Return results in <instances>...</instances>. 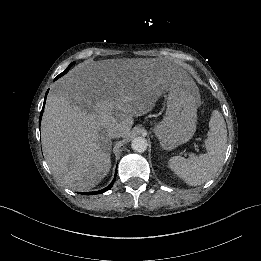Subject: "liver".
<instances>
[{
  "mask_svg": "<svg viewBox=\"0 0 261 261\" xmlns=\"http://www.w3.org/2000/svg\"><path fill=\"white\" fill-rule=\"evenodd\" d=\"M195 86L185 71L168 75L157 65H102L71 69L47 97L41 142L54 177L75 191L98 185L111 168V138L128 137L133 117L147 114L170 88Z\"/></svg>",
  "mask_w": 261,
  "mask_h": 261,
  "instance_id": "obj_1",
  "label": "liver"
}]
</instances>
